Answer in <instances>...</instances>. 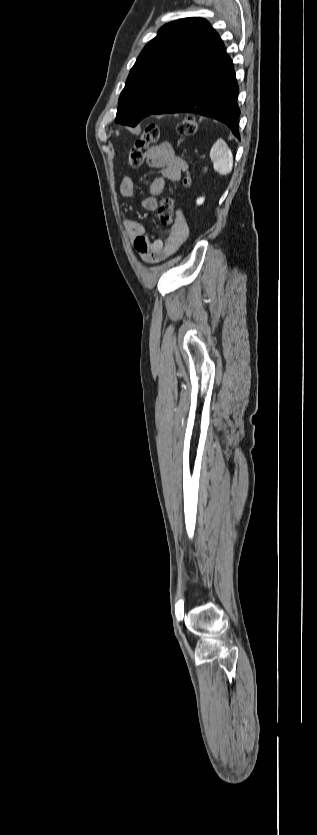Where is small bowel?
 Returning a JSON list of instances; mask_svg holds the SVG:
<instances>
[{
  "label": "small bowel",
  "instance_id": "small-bowel-1",
  "mask_svg": "<svg viewBox=\"0 0 317 835\" xmlns=\"http://www.w3.org/2000/svg\"><path fill=\"white\" fill-rule=\"evenodd\" d=\"M146 162L149 167L159 169L160 175L150 181L148 186L150 195L142 199L141 205L147 211H155L158 206V197L163 193L166 181H179L182 173L187 170L188 164L168 143L151 147L147 153ZM119 190L122 196L128 199H135L138 196V187L129 177L122 178ZM124 227L135 251L146 264L159 263L176 253L189 233L188 225L182 216L177 218L164 241L151 238L145 227L136 220L126 219Z\"/></svg>",
  "mask_w": 317,
  "mask_h": 835
}]
</instances>
